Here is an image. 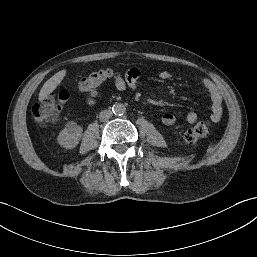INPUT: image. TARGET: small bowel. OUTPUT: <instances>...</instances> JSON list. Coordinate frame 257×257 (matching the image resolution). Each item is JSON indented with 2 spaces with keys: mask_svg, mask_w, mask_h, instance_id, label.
<instances>
[{
  "mask_svg": "<svg viewBox=\"0 0 257 257\" xmlns=\"http://www.w3.org/2000/svg\"><path fill=\"white\" fill-rule=\"evenodd\" d=\"M172 73L169 70H163L160 73V78L163 80L170 79ZM140 71L137 67H133L129 69L125 75L120 73L114 74L115 86L119 90L137 89L140 86L139 82ZM201 84L204 89L207 91L210 102H211V111H210V119L214 122H218L221 120L223 115V100L219 90L216 86L208 79L202 78ZM102 98V93H98L96 95V100H100ZM198 115L191 111L186 115V121L190 124H193L197 121ZM160 121L165 126H172L176 122V118L171 113H164Z\"/></svg>",
  "mask_w": 257,
  "mask_h": 257,
  "instance_id": "small-bowel-1",
  "label": "small bowel"
}]
</instances>
